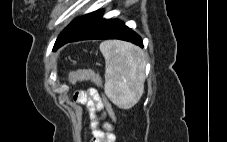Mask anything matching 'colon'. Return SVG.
<instances>
[{"label":"colon","instance_id":"obj_1","mask_svg":"<svg viewBox=\"0 0 227 142\" xmlns=\"http://www.w3.org/2000/svg\"><path fill=\"white\" fill-rule=\"evenodd\" d=\"M69 80H70L71 83H75V82L80 81V80H91V81L95 82L96 84H98L100 86L102 85L101 78L97 74H95L91 71L74 72L70 75ZM103 103H104V105L107 109L108 114L112 118H114V112H113V109H112L110 103L105 98L103 100Z\"/></svg>","mask_w":227,"mask_h":142}]
</instances>
